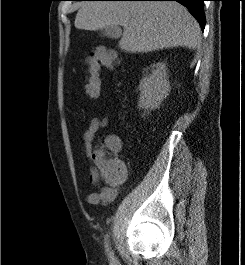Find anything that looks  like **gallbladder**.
I'll return each mask as SVG.
<instances>
[{
	"label": "gallbladder",
	"mask_w": 245,
	"mask_h": 265,
	"mask_svg": "<svg viewBox=\"0 0 245 265\" xmlns=\"http://www.w3.org/2000/svg\"><path fill=\"white\" fill-rule=\"evenodd\" d=\"M101 34L111 39H119L122 35V30L119 26H108L101 29Z\"/></svg>",
	"instance_id": "bac80fb5"
}]
</instances>
